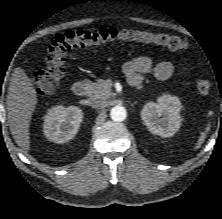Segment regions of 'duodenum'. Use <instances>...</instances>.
Returning <instances> with one entry per match:
<instances>
[{
    "label": "duodenum",
    "mask_w": 222,
    "mask_h": 219,
    "mask_svg": "<svg viewBox=\"0 0 222 219\" xmlns=\"http://www.w3.org/2000/svg\"><path fill=\"white\" fill-rule=\"evenodd\" d=\"M72 91L76 96H85L88 92V87L84 82L77 81L73 84Z\"/></svg>",
    "instance_id": "duodenum-1"
}]
</instances>
